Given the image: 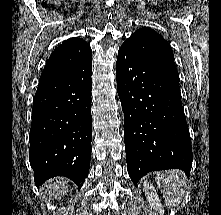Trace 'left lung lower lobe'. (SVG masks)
I'll list each match as a JSON object with an SVG mask.
<instances>
[{"instance_id": "obj_1", "label": "left lung lower lobe", "mask_w": 221, "mask_h": 215, "mask_svg": "<svg viewBox=\"0 0 221 215\" xmlns=\"http://www.w3.org/2000/svg\"><path fill=\"white\" fill-rule=\"evenodd\" d=\"M116 77L131 180L136 185L150 171L171 168L189 176L193 158L179 79L125 45L118 51Z\"/></svg>"}]
</instances>
